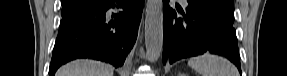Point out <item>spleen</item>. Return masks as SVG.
<instances>
[{"instance_id":"3e777b00","label":"spleen","mask_w":287,"mask_h":76,"mask_svg":"<svg viewBox=\"0 0 287 76\" xmlns=\"http://www.w3.org/2000/svg\"><path fill=\"white\" fill-rule=\"evenodd\" d=\"M188 65L202 76H238L236 67L230 61L215 55L191 58Z\"/></svg>"}]
</instances>
